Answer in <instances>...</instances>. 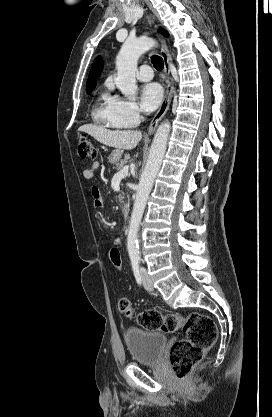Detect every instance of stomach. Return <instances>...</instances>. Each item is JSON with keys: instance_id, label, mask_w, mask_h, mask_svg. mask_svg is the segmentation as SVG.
I'll use <instances>...</instances> for the list:
<instances>
[{"instance_id": "0dacf381", "label": "stomach", "mask_w": 272, "mask_h": 417, "mask_svg": "<svg viewBox=\"0 0 272 417\" xmlns=\"http://www.w3.org/2000/svg\"><path fill=\"white\" fill-rule=\"evenodd\" d=\"M122 156V150L121 149H115L111 152V154L108 156V160L111 164H117Z\"/></svg>"}]
</instances>
